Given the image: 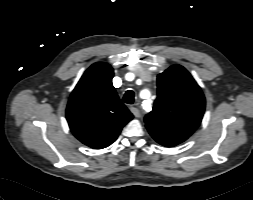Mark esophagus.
I'll use <instances>...</instances> for the list:
<instances>
[{
    "mask_svg": "<svg viewBox=\"0 0 253 200\" xmlns=\"http://www.w3.org/2000/svg\"><path fill=\"white\" fill-rule=\"evenodd\" d=\"M130 110H131V112L133 113V115H134L135 117H140L141 113H140V111H139V109H138L137 107L132 106V107L130 108Z\"/></svg>",
    "mask_w": 253,
    "mask_h": 200,
    "instance_id": "1",
    "label": "esophagus"
}]
</instances>
